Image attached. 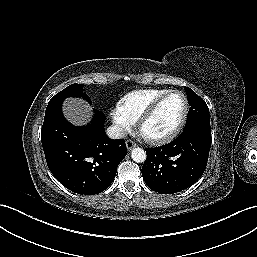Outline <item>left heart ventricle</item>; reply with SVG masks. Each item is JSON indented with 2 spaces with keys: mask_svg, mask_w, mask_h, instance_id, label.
<instances>
[{
  "mask_svg": "<svg viewBox=\"0 0 257 257\" xmlns=\"http://www.w3.org/2000/svg\"><path fill=\"white\" fill-rule=\"evenodd\" d=\"M184 110L181 95L169 96L158 108L156 113L146 122L143 132L147 136H162L172 131L180 121Z\"/></svg>",
  "mask_w": 257,
  "mask_h": 257,
  "instance_id": "b2bd125f",
  "label": "left heart ventricle"
}]
</instances>
